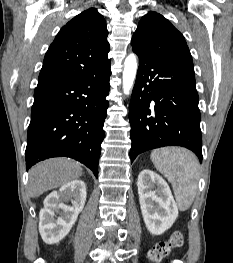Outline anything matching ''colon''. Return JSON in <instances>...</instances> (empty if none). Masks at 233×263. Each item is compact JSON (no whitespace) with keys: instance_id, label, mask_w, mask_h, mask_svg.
I'll list each match as a JSON object with an SVG mask.
<instances>
[{"instance_id":"1","label":"colon","mask_w":233,"mask_h":263,"mask_svg":"<svg viewBox=\"0 0 233 263\" xmlns=\"http://www.w3.org/2000/svg\"><path fill=\"white\" fill-rule=\"evenodd\" d=\"M184 242V235L180 231L174 232L166 241H161L149 252V259L153 263H159L165 256H167L173 249L179 248Z\"/></svg>"}]
</instances>
